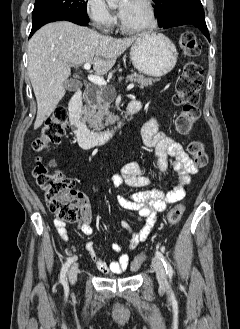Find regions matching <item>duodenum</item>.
I'll list each match as a JSON object with an SVG mask.
<instances>
[{
  "instance_id": "1",
  "label": "duodenum",
  "mask_w": 240,
  "mask_h": 329,
  "mask_svg": "<svg viewBox=\"0 0 240 329\" xmlns=\"http://www.w3.org/2000/svg\"><path fill=\"white\" fill-rule=\"evenodd\" d=\"M139 106L137 102L131 101L123 117L113 128L103 131H92L88 129L83 120L82 95L80 91L75 92L69 102V119L73 135L84 150H92L95 147L110 141L118 131L122 129L126 120L137 113Z\"/></svg>"
}]
</instances>
